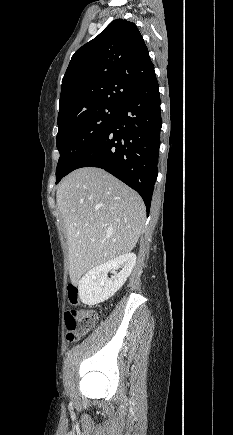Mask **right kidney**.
I'll list each match as a JSON object with an SVG mask.
<instances>
[{"mask_svg":"<svg viewBox=\"0 0 233 435\" xmlns=\"http://www.w3.org/2000/svg\"><path fill=\"white\" fill-rule=\"evenodd\" d=\"M135 263L136 255L126 253L88 271L78 284V296L81 302L94 306L112 297L123 286ZM118 269L121 270L117 272ZM109 271L114 273L110 279Z\"/></svg>","mask_w":233,"mask_h":435,"instance_id":"1","label":"right kidney"}]
</instances>
